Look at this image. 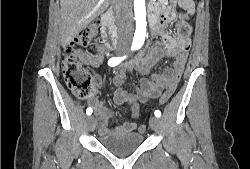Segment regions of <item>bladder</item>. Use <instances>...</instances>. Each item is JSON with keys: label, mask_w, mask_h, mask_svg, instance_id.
<instances>
[{"label": "bladder", "mask_w": 250, "mask_h": 169, "mask_svg": "<svg viewBox=\"0 0 250 169\" xmlns=\"http://www.w3.org/2000/svg\"><path fill=\"white\" fill-rule=\"evenodd\" d=\"M100 146L117 157H127L137 151L144 142L143 134L137 133H99Z\"/></svg>", "instance_id": "bladder-1"}]
</instances>
